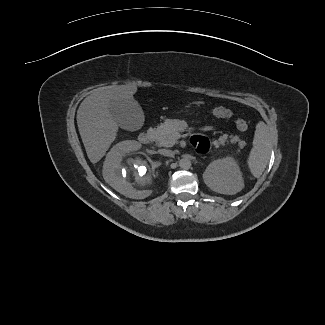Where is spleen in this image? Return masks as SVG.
Returning <instances> with one entry per match:
<instances>
[{
    "instance_id": "1",
    "label": "spleen",
    "mask_w": 325,
    "mask_h": 325,
    "mask_svg": "<svg viewBox=\"0 0 325 325\" xmlns=\"http://www.w3.org/2000/svg\"><path fill=\"white\" fill-rule=\"evenodd\" d=\"M271 153L270 133L267 125L260 121L256 125L253 147L248 157V166L252 175L259 178L264 172Z\"/></svg>"
}]
</instances>
